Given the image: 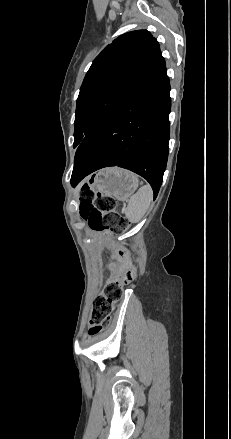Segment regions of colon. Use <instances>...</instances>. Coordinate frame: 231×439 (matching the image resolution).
I'll return each mask as SVG.
<instances>
[{"mask_svg": "<svg viewBox=\"0 0 231 439\" xmlns=\"http://www.w3.org/2000/svg\"><path fill=\"white\" fill-rule=\"evenodd\" d=\"M80 214L88 221L89 227L97 232L119 231L127 228L129 222L116 210V199L111 196L100 195L89 185L79 188ZM134 273L127 271L122 281L111 280L97 295L93 302L90 320V331L97 334L103 331L110 323L114 304L119 301L123 293V284L132 281Z\"/></svg>", "mask_w": 231, "mask_h": 439, "instance_id": "1", "label": "colon"}]
</instances>
